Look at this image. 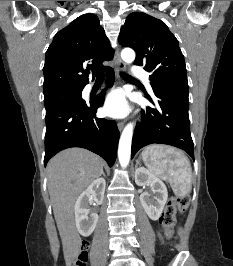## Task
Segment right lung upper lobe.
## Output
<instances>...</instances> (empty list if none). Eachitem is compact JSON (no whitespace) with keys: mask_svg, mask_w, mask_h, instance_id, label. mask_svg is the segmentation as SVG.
Returning <instances> with one entry per match:
<instances>
[{"mask_svg":"<svg viewBox=\"0 0 233 266\" xmlns=\"http://www.w3.org/2000/svg\"><path fill=\"white\" fill-rule=\"evenodd\" d=\"M114 52L96 15L83 14L59 31L46 52L43 91L83 89L89 83L90 70L109 67Z\"/></svg>","mask_w":233,"mask_h":266,"instance_id":"cb5924a9","label":"right lung upper lobe"}]
</instances>
